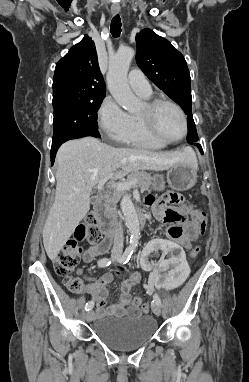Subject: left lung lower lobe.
I'll return each mask as SVG.
<instances>
[{
	"label": "left lung lower lobe",
	"instance_id": "0a47b994",
	"mask_svg": "<svg viewBox=\"0 0 249 382\" xmlns=\"http://www.w3.org/2000/svg\"><path fill=\"white\" fill-rule=\"evenodd\" d=\"M192 144L197 146L200 149V151L202 152V148H201V146L198 143L193 142Z\"/></svg>",
	"mask_w": 249,
	"mask_h": 382
}]
</instances>
